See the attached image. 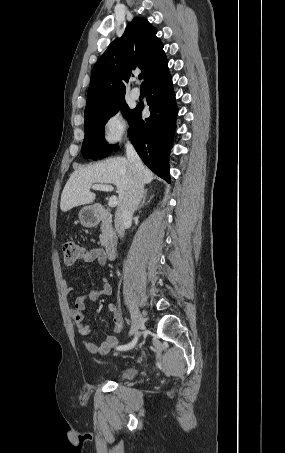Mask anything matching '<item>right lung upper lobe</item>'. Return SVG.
Masks as SVG:
<instances>
[{
	"instance_id": "cb5924a9",
	"label": "right lung upper lobe",
	"mask_w": 285,
	"mask_h": 453,
	"mask_svg": "<svg viewBox=\"0 0 285 453\" xmlns=\"http://www.w3.org/2000/svg\"><path fill=\"white\" fill-rule=\"evenodd\" d=\"M146 18L135 17L121 38L115 39L91 71L85 114L123 98L131 72L139 67L145 83L167 68L163 44Z\"/></svg>"
}]
</instances>
